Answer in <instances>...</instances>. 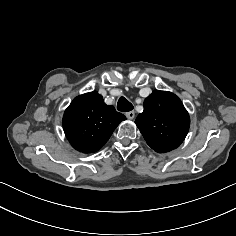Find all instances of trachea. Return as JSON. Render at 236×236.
I'll return each mask as SVG.
<instances>
[{
	"instance_id": "trachea-1",
	"label": "trachea",
	"mask_w": 236,
	"mask_h": 236,
	"mask_svg": "<svg viewBox=\"0 0 236 236\" xmlns=\"http://www.w3.org/2000/svg\"><path fill=\"white\" fill-rule=\"evenodd\" d=\"M117 109L121 112H129L133 110V105L126 98L120 97L117 103Z\"/></svg>"
}]
</instances>
